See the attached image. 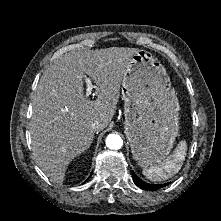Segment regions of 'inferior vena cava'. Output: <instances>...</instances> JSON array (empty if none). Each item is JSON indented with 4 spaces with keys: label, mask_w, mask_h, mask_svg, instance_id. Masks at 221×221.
<instances>
[{
    "label": "inferior vena cava",
    "mask_w": 221,
    "mask_h": 221,
    "mask_svg": "<svg viewBox=\"0 0 221 221\" xmlns=\"http://www.w3.org/2000/svg\"><path fill=\"white\" fill-rule=\"evenodd\" d=\"M91 128L93 131L99 130L101 128V124L98 121L92 123Z\"/></svg>",
    "instance_id": "inferior-vena-cava-1"
}]
</instances>
